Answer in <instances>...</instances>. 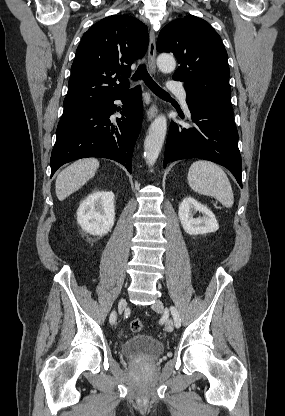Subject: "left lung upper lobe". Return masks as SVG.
Wrapping results in <instances>:
<instances>
[{
    "label": "left lung upper lobe",
    "instance_id": "left-lung-upper-lobe-1",
    "mask_svg": "<svg viewBox=\"0 0 285 416\" xmlns=\"http://www.w3.org/2000/svg\"><path fill=\"white\" fill-rule=\"evenodd\" d=\"M156 48L177 58L173 79L184 82L187 104L232 109L227 52L209 23L193 15L176 19L161 30Z\"/></svg>",
    "mask_w": 285,
    "mask_h": 416
}]
</instances>
